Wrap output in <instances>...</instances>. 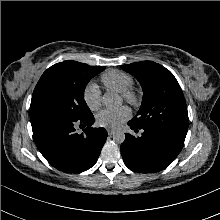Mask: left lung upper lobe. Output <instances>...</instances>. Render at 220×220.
<instances>
[{"label":"left lung upper lobe","mask_w":220,"mask_h":220,"mask_svg":"<svg viewBox=\"0 0 220 220\" xmlns=\"http://www.w3.org/2000/svg\"><path fill=\"white\" fill-rule=\"evenodd\" d=\"M121 68L132 74L143 89V100L130 120L138 128H158L186 137L188 112L184 95L174 75L152 61H141Z\"/></svg>","instance_id":"1"}]
</instances>
